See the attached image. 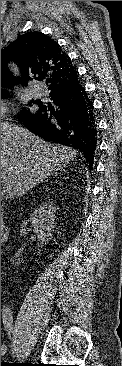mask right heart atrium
Instances as JSON below:
<instances>
[{
	"instance_id": "obj_1",
	"label": "right heart atrium",
	"mask_w": 122,
	"mask_h": 366,
	"mask_svg": "<svg viewBox=\"0 0 122 366\" xmlns=\"http://www.w3.org/2000/svg\"><path fill=\"white\" fill-rule=\"evenodd\" d=\"M7 110V105L1 100V118L6 114Z\"/></svg>"
}]
</instances>
